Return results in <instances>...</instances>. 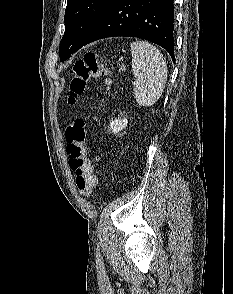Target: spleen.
Listing matches in <instances>:
<instances>
[{
    "label": "spleen",
    "mask_w": 233,
    "mask_h": 294,
    "mask_svg": "<svg viewBox=\"0 0 233 294\" xmlns=\"http://www.w3.org/2000/svg\"><path fill=\"white\" fill-rule=\"evenodd\" d=\"M134 95L139 106L148 107L160 98L167 81V64L162 53L146 41L130 45Z\"/></svg>",
    "instance_id": "spleen-1"
}]
</instances>
